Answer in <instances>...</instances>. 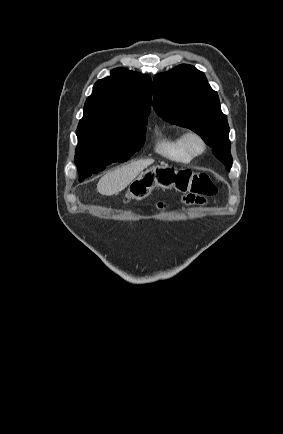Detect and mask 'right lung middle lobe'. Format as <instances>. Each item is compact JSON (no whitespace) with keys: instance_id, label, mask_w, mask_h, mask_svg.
<instances>
[{"instance_id":"obj_1","label":"right lung middle lobe","mask_w":283,"mask_h":434,"mask_svg":"<svg viewBox=\"0 0 283 434\" xmlns=\"http://www.w3.org/2000/svg\"><path fill=\"white\" fill-rule=\"evenodd\" d=\"M147 121L114 126H78L75 162L80 181L113 162L127 161L145 141Z\"/></svg>"}]
</instances>
